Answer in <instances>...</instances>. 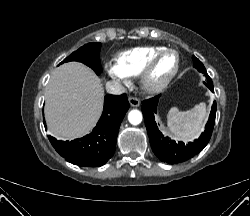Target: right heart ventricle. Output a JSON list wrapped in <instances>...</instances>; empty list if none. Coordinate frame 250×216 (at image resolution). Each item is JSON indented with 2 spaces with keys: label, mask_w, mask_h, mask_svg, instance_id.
Listing matches in <instances>:
<instances>
[{
  "label": "right heart ventricle",
  "mask_w": 250,
  "mask_h": 216,
  "mask_svg": "<svg viewBox=\"0 0 250 216\" xmlns=\"http://www.w3.org/2000/svg\"><path fill=\"white\" fill-rule=\"evenodd\" d=\"M164 49L163 46H142L124 51L118 56L117 65L127 76H139L149 60Z\"/></svg>",
  "instance_id": "right-heart-ventricle-1"
}]
</instances>
